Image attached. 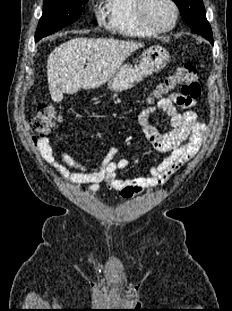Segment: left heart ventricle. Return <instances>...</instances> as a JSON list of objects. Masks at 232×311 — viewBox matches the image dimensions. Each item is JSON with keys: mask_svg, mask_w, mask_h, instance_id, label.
<instances>
[{"mask_svg": "<svg viewBox=\"0 0 232 311\" xmlns=\"http://www.w3.org/2000/svg\"><path fill=\"white\" fill-rule=\"evenodd\" d=\"M145 13L147 19L157 27L170 25L174 15L167 0H147Z\"/></svg>", "mask_w": 232, "mask_h": 311, "instance_id": "1", "label": "left heart ventricle"}]
</instances>
